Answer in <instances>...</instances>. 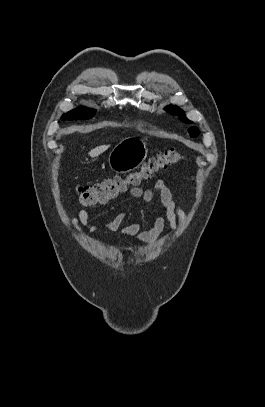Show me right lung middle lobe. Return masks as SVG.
Masks as SVG:
<instances>
[{
    "mask_svg": "<svg viewBox=\"0 0 265 407\" xmlns=\"http://www.w3.org/2000/svg\"><path fill=\"white\" fill-rule=\"evenodd\" d=\"M95 114V110L87 108H78L72 110L62 116V120H73V119H89Z\"/></svg>",
    "mask_w": 265,
    "mask_h": 407,
    "instance_id": "obj_1",
    "label": "right lung middle lobe"
}]
</instances>
